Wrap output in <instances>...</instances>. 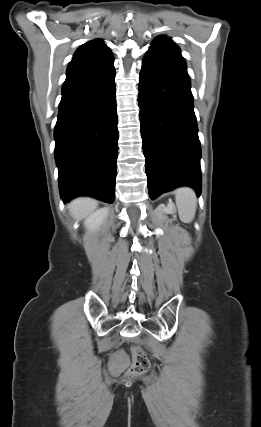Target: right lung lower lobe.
<instances>
[{"label":"right lung lower lobe","instance_id":"1","mask_svg":"<svg viewBox=\"0 0 261 427\" xmlns=\"http://www.w3.org/2000/svg\"><path fill=\"white\" fill-rule=\"evenodd\" d=\"M115 69L63 87L55 126L62 199L89 195L115 200L118 130Z\"/></svg>","mask_w":261,"mask_h":427}]
</instances>
